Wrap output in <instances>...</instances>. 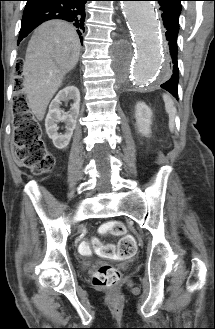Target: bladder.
I'll list each match as a JSON object with an SVG mask.
<instances>
[{
    "instance_id": "bladder-1",
    "label": "bladder",
    "mask_w": 215,
    "mask_h": 329,
    "mask_svg": "<svg viewBox=\"0 0 215 329\" xmlns=\"http://www.w3.org/2000/svg\"><path fill=\"white\" fill-rule=\"evenodd\" d=\"M88 263H84L83 265H82V268H84V269H86L87 267H88Z\"/></svg>"
}]
</instances>
